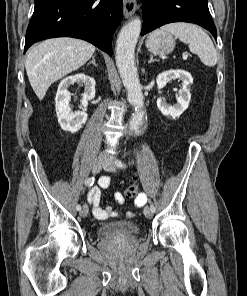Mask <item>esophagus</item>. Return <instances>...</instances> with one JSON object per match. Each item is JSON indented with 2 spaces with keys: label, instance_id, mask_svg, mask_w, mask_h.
Returning a JSON list of instances; mask_svg holds the SVG:
<instances>
[{
  "label": "esophagus",
  "instance_id": "1",
  "mask_svg": "<svg viewBox=\"0 0 247 296\" xmlns=\"http://www.w3.org/2000/svg\"><path fill=\"white\" fill-rule=\"evenodd\" d=\"M123 4H124L123 12H124L125 18L131 17L135 13L136 8H137L136 1L135 0H124Z\"/></svg>",
  "mask_w": 247,
  "mask_h": 296
}]
</instances>
